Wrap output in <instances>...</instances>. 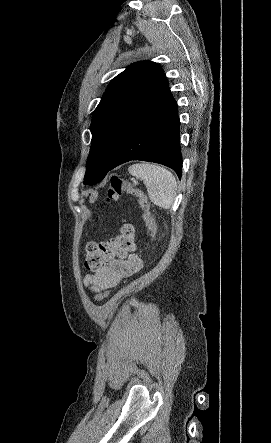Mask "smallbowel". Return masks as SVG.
Listing matches in <instances>:
<instances>
[{
  "label": "small bowel",
  "instance_id": "c3829d8e",
  "mask_svg": "<svg viewBox=\"0 0 271 443\" xmlns=\"http://www.w3.org/2000/svg\"><path fill=\"white\" fill-rule=\"evenodd\" d=\"M142 267V261L136 254L112 259L94 274L84 277V285L99 292L117 286L123 279L132 276Z\"/></svg>",
  "mask_w": 271,
  "mask_h": 443
}]
</instances>
